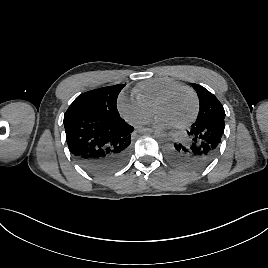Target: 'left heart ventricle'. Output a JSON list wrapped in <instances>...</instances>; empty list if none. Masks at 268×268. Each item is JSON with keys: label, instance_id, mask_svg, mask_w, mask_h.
<instances>
[{"label": "left heart ventricle", "instance_id": "1", "mask_svg": "<svg viewBox=\"0 0 268 268\" xmlns=\"http://www.w3.org/2000/svg\"><path fill=\"white\" fill-rule=\"evenodd\" d=\"M193 110L192 96L189 92L181 90L159 106L157 116L175 126L186 121L192 115Z\"/></svg>", "mask_w": 268, "mask_h": 268}]
</instances>
